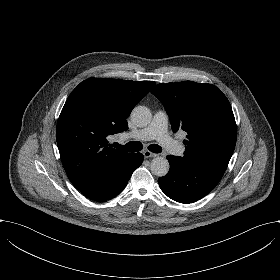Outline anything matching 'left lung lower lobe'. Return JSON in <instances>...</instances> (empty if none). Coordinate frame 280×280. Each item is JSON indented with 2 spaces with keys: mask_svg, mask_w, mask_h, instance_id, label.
I'll return each mask as SVG.
<instances>
[{
  "mask_svg": "<svg viewBox=\"0 0 280 280\" xmlns=\"http://www.w3.org/2000/svg\"><path fill=\"white\" fill-rule=\"evenodd\" d=\"M167 159L170 170L158 179L159 185L169 198L184 204L210 193L226 170L208 163L188 161L184 157L168 155Z\"/></svg>",
  "mask_w": 280,
  "mask_h": 280,
  "instance_id": "1",
  "label": "left lung lower lobe"
}]
</instances>
